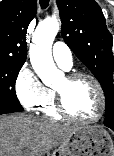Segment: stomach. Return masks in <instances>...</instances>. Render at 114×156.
<instances>
[{"mask_svg":"<svg viewBox=\"0 0 114 156\" xmlns=\"http://www.w3.org/2000/svg\"><path fill=\"white\" fill-rule=\"evenodd\" d=\"M54 156H114V144L102 127H76L64 139Z\"/></svg>","mask_w":114,"mask_h":156,"instance_id":"0dacf381","label":"stomach"}]
</instances>
